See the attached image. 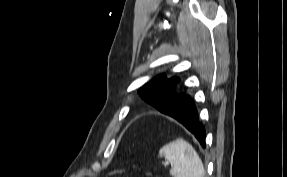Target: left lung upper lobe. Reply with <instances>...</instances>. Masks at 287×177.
Segmentation results:
<instances>
[{"label":"left lung upper lobe","mask_w":287,"mask_h":177,"mask_svg":"<svg viewBox=\"0 0 287 177\" xmlns=\"http://www.w3.org/2000/svg\"><path fill=\"white\" fill-rule=\"evenodd\" d=\"M179 81L177 77L168 79L165 74H160L140 88L138 93L146 102L168 115L171 109L173 111L171 99L180 94L176 89Z\"/></svg>","instance_id":"obj_1"}]
</instances>
